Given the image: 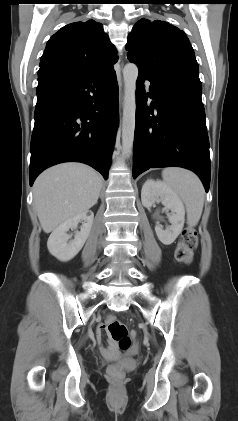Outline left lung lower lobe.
I'll return each mask as SVG.
<instances>
[{
  "label": "left lung lower lobe",
  "instance_id": "1",
  "mask_svg": "<svg viewBox=\"0 0 238 421\" xmlns=\"http://www.w3.org/2000/svg\"><path fill=\"white\" fill-rule=\"evenodd\" d=\"M144 80L151 82L149 94H145ZM201 93L195 73L165 79L139 73L133 178L149 168L178 166L195 172L208 192L211 168ZM148 96L155 100L150 106H146Z\"/></svg>",
  "mask_w": 238,
  "mask_h": 421
}]
</instances>
